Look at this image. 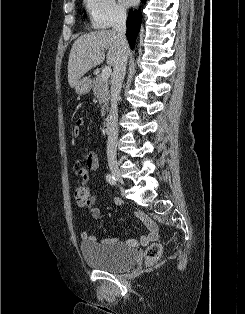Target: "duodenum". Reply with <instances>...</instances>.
I'll return each instance as SVG.
<instances>
[{
  "mask_svg": "<svg viewBox=\"0 0 245 314\" xmlns=\"http://www.w3.org/2000/svg\"><path fill=\"white\" fill-rule=\"evenodd\" d=\"M102 128L105 132H110L111 130V119L110 117H105L102 121Z\"/></svg>",
  "mask_w": 245,
  "mask_h": 314,
  "instance_id": "1",
  "label": "duodenum"
}]
</instances>
